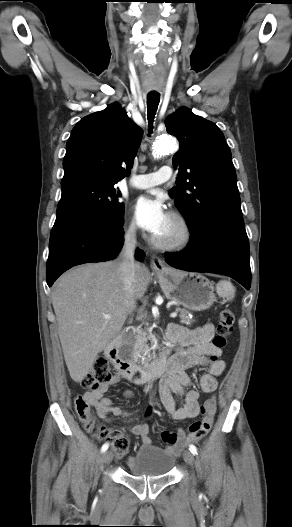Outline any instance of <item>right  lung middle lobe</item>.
<instances>
[{
	"label": "right lung middle lobe",
	"instance_id": "right-lung-middle-lobe-1",
	"mask_svg": "<svg viewBox=\"0 0 292 527\" xmlns=\"http://www.w3.org/2000/svg\"><path fill=\"white\" fill-rule=\"evenodd\" d=\"M62 195L57 212L67 209L90 212L108 222L123 221L124 204L118 201L120 191L114 184L86 178H75L61 183Z\"/></svg>",
	"mask_w": 292,
	"mask_h": 527
}]
</instances>
